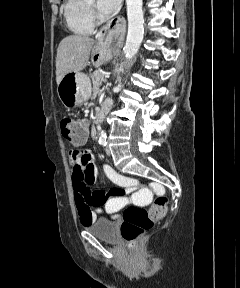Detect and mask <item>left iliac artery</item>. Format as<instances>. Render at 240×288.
Listing matches in <instances>:
<instances>
[{
    "instance_id": "left-iliac-artery-1",
    "label": "left iliac artery",
    "mask_w": 240,
    "mask_h": 288,
    "mask_svg": "<svg viewBox=\"0 0 240 288\" xmlns=\"http://www.w3.org/2000/svg\"><path fill=\"white\" fill-rule=\"evenodd\" d=\"M100 144L103 145V146H106L107 143H106V141L102 140V141L100 142Z\"/></svg>"
}]
</instances>
